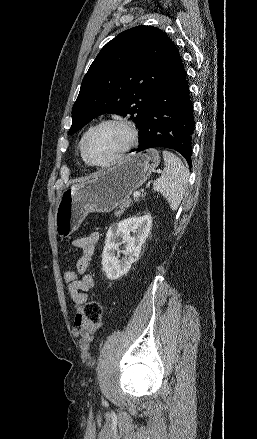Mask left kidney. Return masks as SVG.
Listing matches in <instances>:
<instances>
[{
  "label": "left kidney",
  "instance_id": "left-kidney-1",
  "mask_svg": "<svg viewBox=\"0 0 257 439\" xmlns=\"http://www.w3.org/2000/svg\"><path fill=\"white\" fill-rule=\"evenodd\" d=\"M151 226V216L144 215L127 218L108 229L102 254V270L107 278L116 280L130 270L131 265L139 258L141 247L150 233ZM119 240L121 242H118ZM121 244L125 248L123 251L119 250ZM121 252L124 257L119 259Z\"/></svg>",
  "mask_w": 257,
  "mask_h": 439
}]
</instances>
